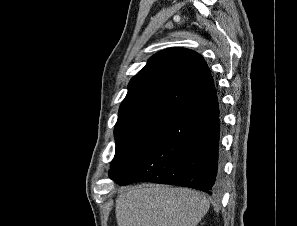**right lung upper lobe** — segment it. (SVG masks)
Listing matches in <instances>:
<instances>
[{
    "mask_svg": "<svg viewBox=\"0 0 297 226\" xmlns=\"http://www.w3.org/2000/svg\"><path fill=\"white\" fill-rule=\"evenodd\" d=\"M214 94L213 78L200 54L179 47L162 50L131 79L117 122L147 115L171 117Z\"/></svg>",
    "mask_w": 297,
    "mask_h": 226,
    "instance_id": "cb5924a9",
    "label": "right lung upper lobe"
}]
</instances>
